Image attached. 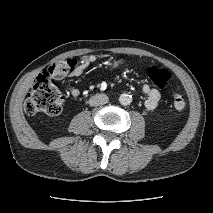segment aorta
<instances>
[{
  "label": "aorta",
  "mask_w": 213,
  "mask_h": 213,
  "mask_svg": "<svg viewBox=\"0 0 213 213\" xmlns=\"http://www.w3.org/2000/svg\"><path fill=\"white\" fill-rule=\"evenodd\" d=\"M119 102L122 105H129L132 102V97L129 94L123 93L119 97Z\"/></svg>",
  "instance_id": "762f6f07"
}]
</instances>
